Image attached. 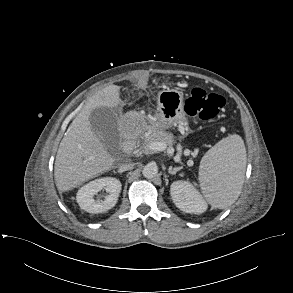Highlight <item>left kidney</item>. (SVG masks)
Returning <instances> with one entry per match:
<instances>
[{
	"instance_id": "5707ae66",
	"label": "left kidney",
	"mask_w": 293,
	"mask_h": 293,
	"mask_svg": "<svg viewBox=\"0 0 293 293\" xmlns=\"http://www.w3.org/2000/svg\"><path fill=\"white\" fill-rule=\"evenodd\" d=\"M170 194L176 207L186 213L201 214L207 210L206 201L188 181L173 182Z\"/></svg>"
}]
</instances>
